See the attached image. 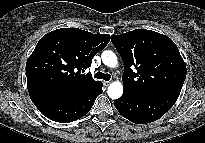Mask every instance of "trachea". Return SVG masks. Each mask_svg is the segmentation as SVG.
<instances>
[{
	"instance_id": "3493384b",
	"label": "trachea",
	"mask_w": 205,
	"mask_h": 143,
	"mask_svg": "<svg viewBox=\"0 0 205 143\" xmlns=\"http://www.w3.org/2000/svg\"><path fill=\"white\" fill-rule=\"evenodd\" d=\"M95 78L97 79H103L105 81H109L111 76L110 74H107V73H102V72H97L95 75H94Z\"/></svg>"
}]
</instances>
